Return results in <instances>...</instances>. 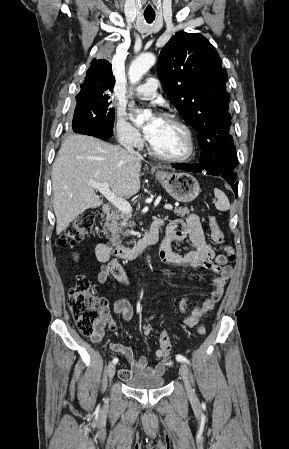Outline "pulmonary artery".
I'll return each instance as SVG.
<instances>
[{"label":"pulmonary artery","mask_w":289,"mask_h":449,"mask_svg":"<svg viewBox=\"0 0 289 449\" xmlns=\"http://www.w3.org/2000/svg\"><path fill=\"white\" fill-rule=\"evenodd\" d=\"M159 87V80L157 78H148L144 84H141L135 88L137 96L143 99H152L157 95V89Z\"/></svg>","instance_id":"pulmonary-artery-1"}]
</instances>
